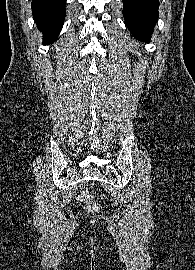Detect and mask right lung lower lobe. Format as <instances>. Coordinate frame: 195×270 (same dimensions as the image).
<instances>
[{"instance_id":"right-lung-lower-lobe-1","label":"right lung lower lobe","mask_w":195,"mask_h":270,"mask_svg":"<svg viewBox=\"0 0 195 270\" xmlns=\"http://www.w3.org/2000/svg\"><path fill=\"white\" fill-rule=\"evenodd\" d=\"M66 0H32V14L43 33V44H51L59 35L65 19Z\"/></svg>"}]
</instances>
